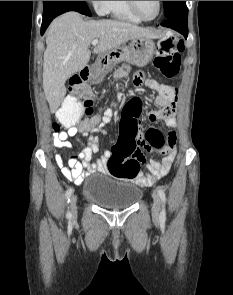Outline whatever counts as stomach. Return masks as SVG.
<instances>
[{
    "label": "stomach",
    "mask_w": 233,
    "mask_h": 295,
    "mask_svg": "<svg viewBox=\"0 0 233 295\" xmlns=\"http://www.w3.org/2000/svg\"><path fill=\"white\" fill-rule=\"evenodd\" d=\"M111 53L114 55L107 56V63L100 64L98 70L90 75L92 82H100L114 64L122 61L138 67L147 65L155 54V43L151 38L137 37L132 39L128 46L117 48Z\"/></svg>",
    "instance_id": "0dacf381"
}]
</instances>
